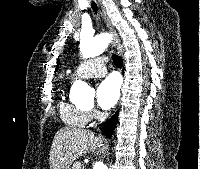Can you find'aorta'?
Instances as JSON below:
<instances>
[{
    "label": "aorta",
    "instance_id": "aorta-1",
    "mask_svg": "<svg viewBox=\"0 0 200 169\" xmlns=\"http://www.w3.org/2000/svg\"><path fill=\"white\" fill-rule=\"evenodd\" d=\"M111 36L107 33L95 37L81 36L80 52L84 59L100 55L109 45ZM71 94L77 99H92L94 91L85 82L77 80L71 87ZM93 169H107L103 161L94 163Z\"/></svg>",
    "mask_w": 200,
    "mask_h": 169
}]
</instances>
